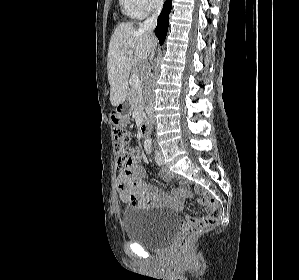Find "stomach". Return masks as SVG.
Masks as SVG:
<instances>
[{
  "label": "stomach",
  "instance_id": "0dacf381",
  "mask_svg": "<svg viewBox=\"0 0 299 280\" xmlns=\"http://www.w3.org/2000/svg\"><path fill=\"white\" fill-rule=\"evenodd\" d=\"M131 108L127 103L120 104L117 108L110 113V122L116 127H124L129 122Z\"/></svg>",
  "mask_w": 299,
  "mask_h": 280
}]
</instances>
